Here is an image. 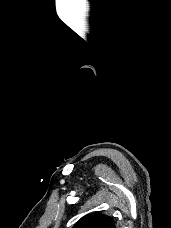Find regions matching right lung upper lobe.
<instances>
[{"mask_svg": "<svg viewBox=\"0 0 171 228\" xmlns=\"http://www.w3.org/2000/svg\"><path fill=\"white\" fill-rule=\"evenodd\" d=\"M73 228H116L113 219L102 213H92L81 218Z\"/></svg>", "mask_w": 171, "mask_h": 228, "instance_id": "cb5924a9", "label": "right lung upper lobe"}]
</instances>
